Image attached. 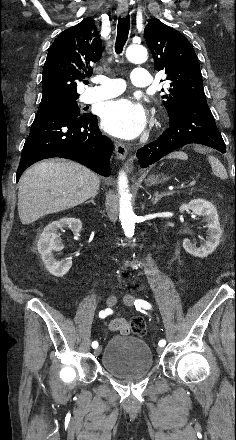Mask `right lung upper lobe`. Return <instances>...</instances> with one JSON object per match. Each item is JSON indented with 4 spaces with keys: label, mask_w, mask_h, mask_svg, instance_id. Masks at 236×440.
<instances>
[{
    "label": "right lung upper lobe",
    "mask_w": 236,
    "mask_h": 440,
    "mask_svg": "<svg viewBox=\"0 0 236 440\" xmlns=\"http://www.w3.org/2000/svg\"><path fill=\"white\" fill-rule=\"evenodd\" d=\"M102 55V42L93 19L64 30L49 48L42 77L39 108L76 101L77 82L93 73Z\"/></svg>",
    "instance_id": "cb5924a9"
}]
</instances>
